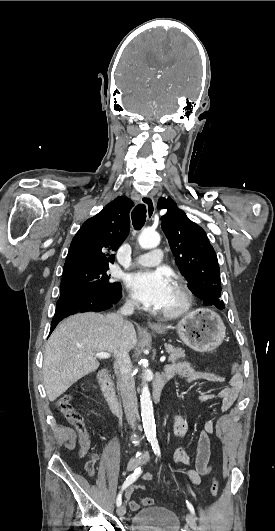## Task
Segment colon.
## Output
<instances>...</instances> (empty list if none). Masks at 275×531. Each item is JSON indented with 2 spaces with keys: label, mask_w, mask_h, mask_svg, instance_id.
Segmentation results:
<instances>
[{
  "label": "colon",
  "mask_w": 275,
  "mask_h": 531,
  "mask_svg": "<svg viewBox=\"0 0 275 531\" xmlns=\"http://www.w3.org/2000/svg\"><path fill=\"white\" fill-rule=\"evenodd\" d=\"M232 371L234 373H238L241 371V364L239 362H234L231 367ZM56 407L58 410L65 416V418L72 424V426L77 430L80 439L81 444L83 446V449H88L90 446V434L89 429L85 421V417L82 414L81 411L74 408V406L71 405V399L68 396L61 397L57 403ZM85 470L88 474H91V468L90 465L85 467ZM131 486H135L139 488V491H143L145 489V486L143 484H134ZM219 485L218 480L216 478H213L210 484V492L212 496H215L218 492Z\"/></svg>",
  "instance_id": "1"
}]
</instances>
